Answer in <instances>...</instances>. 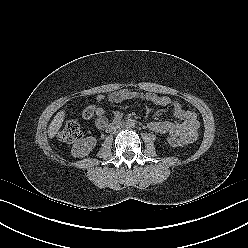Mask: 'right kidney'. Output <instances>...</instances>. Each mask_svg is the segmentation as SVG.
Segmentation results:
<instances>
[{"mask_svg":"<svg viewBox=\"0 0 248 248\" xmlns=\"http://www.w3.org/2000/svg\"><path fill=\"white\" fill-rule=\"evenodd\" d=\"M97 140L94 137L84 138L72 147L71 154L74 157H84L87 156L92 149L96 146Z\"/></svg>","mask_w":248,"mask_h":248,"instance_id":"1","label":"right kidney"}]
</instances>
